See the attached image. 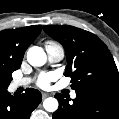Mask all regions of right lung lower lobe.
Listing matches in <instances>:
<instances>
[{
    "label": "right lung lower lobe",
    "mask_w": 119,
    "mask_h": 119,
    "mask_svg": "<svg viewBox=\"0 0 119 119\" xmlns=\"http://www.w3.org/2000/svg\"><path fill=\"white\" fill-rule=\"evenodd\" d=\"M41 99V93L32 88L20 96H12L7 89H0V119H29Z\"/></svg>",
    "instance_id": "obj_1"
}]
</instances>
